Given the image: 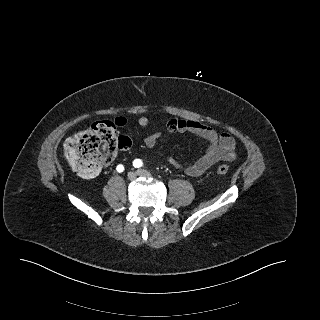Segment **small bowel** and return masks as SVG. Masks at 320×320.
I'll return each mask as SVG.
<instances>
[{
    "label": "small bowel",
    "mask_w": 320,
    "mask_h": 320,
    "mask_svg": "<svg viewBox=\"0 0 320 320\" xmlns=\"http://www.w3.org/2000/svg\"><path fill=\"white\" fill-rule=\"evenodd\" d=\"M126 120L117 118L116 124L124 126ZM138 124L145 127L148 124L147 117H140ZM166 128L171 133H191L207 141L208 146L204 153L193 163L185 166L173 157H169L167 162L169 165L184 169L185 173L191 177L201 176L207 169L219 161H232L236 158L235 140L228 133H219L213 127L194 120L172 118L167 121ZM162 137V133L157 131L147 135L144 144L147 148H153L158 140Z\"/></svg>",
    "instance_id": "obj_1"
}]
</instances>
